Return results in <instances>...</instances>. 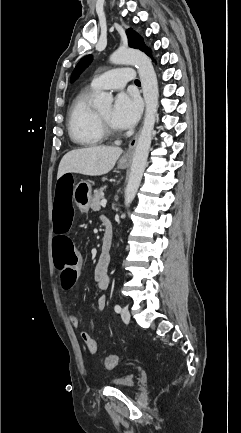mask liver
<instances>
[{
    "instance_id": "6515ba94",
    "label": "liver",
    "mask_w": 241,
    "mask_h": 433,
    "mask_svg": "<svg viewBox=\"0 0 241 433\" xmlns=\"http://www.w3.org/2000/svg\"><path fill=\"white\" fill-rule=\"evenodd\" d=\"M123 150L119 147L94 146L72 150L60 161L57 178L65 173L100 176L113 169Z\"/></svg>"
}]
</instances>
